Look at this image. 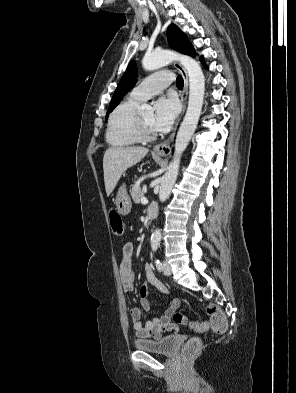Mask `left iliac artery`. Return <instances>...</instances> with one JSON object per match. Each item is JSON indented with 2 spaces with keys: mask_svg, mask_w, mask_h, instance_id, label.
<instances>
[{
  "mask_svg": "<svg viewBox=\"0 0 296 393\" xmlns=\"http://www.w3.org/2000/svg\"><path fill=\"white\" fill-rule=\"evenodd\" d=\"M158 247H159V245H158L157 243H153V244H152V250H153L154 252L157 251ZM155 265H156V268H157L159 271H161V270L163 269V265H162V263H161V261H160L159 259H155Z\"/></svg>",
  "mask_w": 296,
  "mask_h": 393,
  "instance_id": "left-iliac-artery-1",
  "label": "left iliac artery"
}]
</instances>
